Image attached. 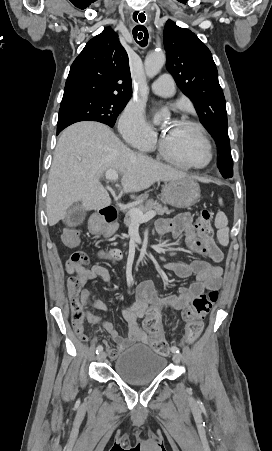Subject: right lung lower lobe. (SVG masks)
I'll return each instance as SVG.
<instances>
[{"mask_svg":"<svg viewBox=\"0 0 272 451\" xmlns=\"http://www.w3.org/2000/svg\"><path fill=\"white\" fill-rule=\"evenodd\" d=\"M61 131H57V134L60 133Z\"/></svg>","mask_w":272,"mask_h":451,"instance_id":"98d812e1","label":"right lung lower lobe"}]
</instances>
